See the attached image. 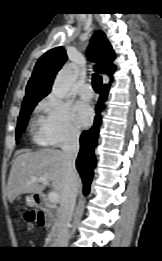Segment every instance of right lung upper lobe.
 I'll return each instance as SVG.
<instances>
[{
	"mask_svg": "<svg viewBox=\"0 0 162 261\" xmlns=\"http://www.w3.org/2000/svg\"><path fill=\"white\" fill-rule=\"evenodd\" d=\"M87 55L89 58L95 57L97 59L100 73L112 76L115 71L113 64L115 53L104 32L97 31L94 33ZM66 59V51L63 47L53 48L40 57L27 84L24 100L45 97L51 90L56 73Z\"/></svg>",
	"mask_w": 162,
	"mask_h": 261,
	"instance_id": "obj_1",
	"label": "right lung upper lobe"
}]
</instances>
